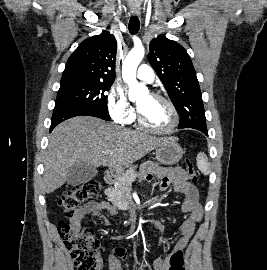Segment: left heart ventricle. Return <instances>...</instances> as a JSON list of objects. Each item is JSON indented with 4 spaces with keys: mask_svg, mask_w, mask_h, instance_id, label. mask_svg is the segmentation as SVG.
I'll return each instance as SVG.
<instances>
[{
    "mask_svg": "<svg viewBox=\"0 0 267 270\" xmlns=\"http://www.w3.org/2000/svg\"><path fill=\"white\" fill-rule=\"evenodd\" d=\"M138 109L144 122L150 127L163 129L170 125L172 116L168 106L150 95L138 101Z\"/></svg>",
    "mask_w": 267,
    "mask_h": 270,
    "instance_id": "1",
    "label": "left heart ventricle"
}]
</instances>
